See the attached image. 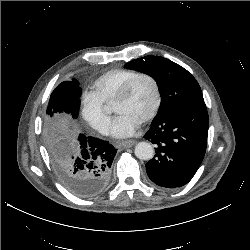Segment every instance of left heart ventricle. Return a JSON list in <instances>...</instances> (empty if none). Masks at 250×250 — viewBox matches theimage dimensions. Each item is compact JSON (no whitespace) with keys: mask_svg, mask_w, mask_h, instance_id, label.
<instances>
[{"mask_svg":"<svg viewBox=\"0 0 250 250\" xmlns=\"http://www.w3.org/2000/svg\"><path fill=\"white\" fill-rule=\"evenodd\" d=\"M155 105V92L148 79L137 82L129 98L114 105L117 114H127L141 123L153 110Z\"/></svg>","mask_w":250,"mask_h":250,"instance_id":"b2bd125f","label":"left heart ventricle"}]
</instances>
